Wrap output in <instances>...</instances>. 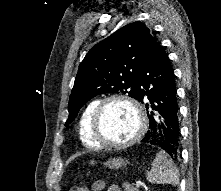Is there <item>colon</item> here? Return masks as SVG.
<instances>
[{"instance_id":"1","label":"colon","mask_w":221,"mask_h":191,"mask_svg":"<svg viewBox=\"0 0 221 191\" xmlns=\"http://www.w3.org/2000/svg\"><path fill=\"white\" fill-rule=\"evenodd\" d=\"M70 191H88L87 188L83 185H74L71 187Z\"/></svg>"}]
</instances>
